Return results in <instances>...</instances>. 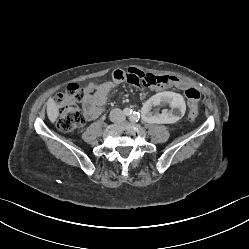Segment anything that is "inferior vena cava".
I'll list each match as a JSON object with an SVG mask.
<instances>
[{
	"mask_svg": "<svg viewBox=\"0 0 249 249\" xmlns=\"http://www.w3.org/2000/svg\"><path fill=\"white\" fill-rule=\"evenodd\" d=\"M125 118L123 111L119 108H115L110 112V120L114 123H121Z\"/></svg>",
	"mask_w": 249,
	"mask_h": 249,
	"instance_id": "1",
	"label": "inferior vena cava"
}]
</instances>
